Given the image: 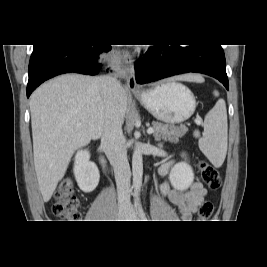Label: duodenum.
<instances>
[{"mask_svg": "<svg viewBox=\"0 0 267 267\" xmlns=\"http://www.w3.org/2000/svg\"><path fill=\"white\" fill-rule=\"evenodd\" d=\"M99 162H100V165H101L102 169L105 172H108L110 170L109 164H108L107 160L105 159V157L100 156Z\"/></svg>", "mask_w": 267, "mask_h": 267, "instance_id": "obj_1", "label": "duodenum"}]
</instances>
